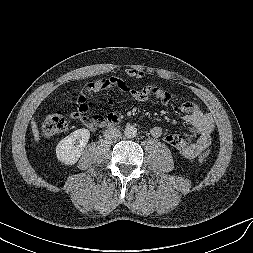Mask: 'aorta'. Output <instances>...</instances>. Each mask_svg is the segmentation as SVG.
<instances>
[{
    "label": "aorta",
    "mask_w": 253,
    "mask_h": 253,
    "mask_svg": "<svg viewBox=\"0 0 253 253\" xmlns=\"http://www.w3.org/2000/svg\"><path fill=\"white\" fill-rule=\"evenodd\" d=\"M124 134L129 139L134 138L137 135V128L133 125H127Z\"/></svg>",
    "instance_id": "aorta-1"
}]
</instances>
